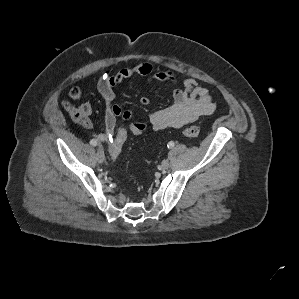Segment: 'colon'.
<instances>
[{"mask_svg": "<svg viewBox=\"0 0 299 299\" xmlns=\"http://www.w3.org/2000/svg\"><path fill=\"white\" fill-rule=\"evenodd\" d=\"M63 107L75 122L84 126L90 124V113L83 105L75 106L66 101L63 103ZM143 132L144 127L137 122H129L116 127L112 133L108 148L110 159L115 160L120 155L130 136H139ZM182 134L188 138H197L200 134V129L197 126H187L183 129Z\"/></svg>", "mask_w": 299, "mask_h": 299, "instance_id": "colon-1", "label": "colon"}]
</instances>
